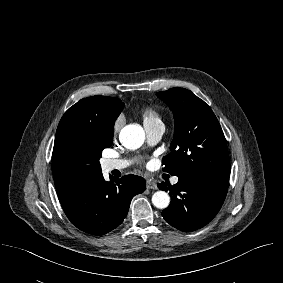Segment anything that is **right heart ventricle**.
I'll return each mask as SVG.
<instances>
[{"label":"right heart ventricle","mask_w":283,"mask_h":283,"mask_svg":"<svg viewBox=\"0 0 283 283\" xmlns=\"http://www.w3.org/2000/svg\"><path fill=\"white\" fill-rule=\"evenodd\" d=\"M141 116L143 119V123L145 124H154V123H162L159 112L152 108L148 107L142 110Z\"/></svg>","instance_id":"e07e8e85"}]
</instances>
